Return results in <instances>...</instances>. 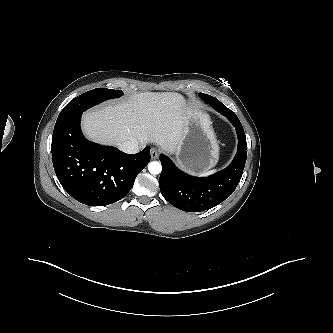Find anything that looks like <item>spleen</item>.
<instances>
[{"label": "spleen", "mask_w": 333, "mask_h": 333, "mask_svg": "<svg viewBox=\"0 0 333 333\" xmlns=\"http://www.w3.org/2000/svg\"><path fill=\"white\" fill-rule=\"evenodd\" d=\"M217 170H211V171H207V172H204L200 175V177H204V176H208V175H212L216 172Z\"/></svg>", "instance_id": "1"}]
</instances>
